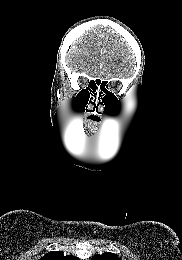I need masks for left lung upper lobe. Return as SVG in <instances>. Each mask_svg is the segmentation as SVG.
<instances>
[{"mask_svg": "<svg viewBox=\"0 0 182 260\" xmlns=\"http://www.w3.org/2000/svg\"><path fill=\"white\" fill-rule=\"evenodd\" d=\"M92 260H121L116 254L114 253H103V254H96L92 257Z\"/></svg>", "mask_w": 182, "mask_h": 260, "instance_id": "left-lung-upper-lobe-1", "label": "left lung upper lobe"}]
</instances>
